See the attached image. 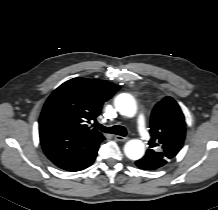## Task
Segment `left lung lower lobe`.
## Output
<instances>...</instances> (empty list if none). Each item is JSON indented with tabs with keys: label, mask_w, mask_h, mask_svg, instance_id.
I'll use <instances>...</instances> for the list:
<instances>
[{
	"label": "left lung lower lobe",
	"mask_w": 218,
	"mask_h": 210,
	"mask_svg": "<svg viewBox=\"0 0 218 210\" xmlns=\"http://www.w3.org/2000/svg\"><path fill=\"white\" fill-rule=\"evenodd\" d=\"M136 165L139 168L146 170H154L161 167L158 163H155L154 161L150 160V158L146 155L142 159L136 161Z\"/></svg>",
	"instance_id": "left-lung-lower-lobe-1"
}]
</instances>
